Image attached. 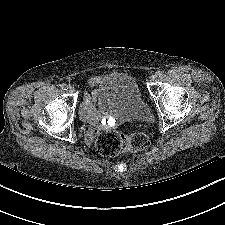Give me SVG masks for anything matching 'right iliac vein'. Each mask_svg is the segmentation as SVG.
I'll return each mask as SVG.
<instances>
[{"label":"right iliac vein","instance_id":"1","mask_svg":"<svg viewBox=\"0 0 225 225\" xmlns=\"http://www.w3.org/2000/svg\"><path fill=\"white\" fill-rule=\"evenodd\" d=\"M67 91L69 93H74L75 92V89L72 86H69L68 89H67Z\"/></svg>","mask_w":225,"mask_h":225}]
</instances>
